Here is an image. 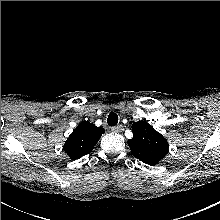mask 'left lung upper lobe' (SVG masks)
<instances>
[{
	"mask_svg": "<svg viewBox=\"0 0 220 220\" xmlns=\"http://www.w3.org/2000/svg\"><path fill=\"white\" fill-rule=\"evenodd\" d=\"M133 138L128 140L131 153L135 158L149 165H156L168 153V142L146 121L132 125Z\"/></svg>",
	"mask_w": 220,
	"mask_h": 220,
	"instance_id": "1",
	"label": "left lung upper lobe"
}]
</instances>
